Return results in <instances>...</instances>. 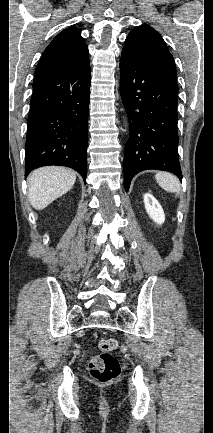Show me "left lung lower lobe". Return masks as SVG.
I'll return each instance as SVG.
<instances>
[{
  "instance_id": "left-lung-lower-lobe-1",
  "label": "left lung lower lobe",
  "mask_w": 213,
  "mask_h": 433,
  "mask_svg": "<svg viewBox=\"0 0 213 433\" xmlns=\"http://www.w3.org/2000/svg\"><path fill=\"white\" fill-rule=\"evenodd\" d=\"M120 88L130 122L124 149V181L143 170L169 171L182 179L177 144L176 79L157 72L122 50Z\"/></svg>"
}]
</instances>
